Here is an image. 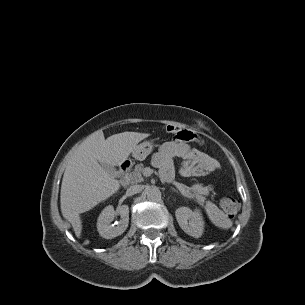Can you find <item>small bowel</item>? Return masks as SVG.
I'll use <instances>...</instances> for the list:
<instances>
[{"instance_id":"obj_1","label":"small bowel","mask_w":305,"mask_h":305,"mask_svg":"<svg viewBox=\"0 0 305 305\" xmlns=\"http://www.w3.org/2000/svg\"><path fill=\"white\" fill-rule=\"evenodd\" d=\"M199 141L198 137L190 131H185L184 138L164 143L152 158L154 166L160 169L161 178L169 182L175 175L174 158H182L197 165L205 171H214L218 168V162L209 154L191 147L188 142Z\"/></svg>"}]
</instances>
